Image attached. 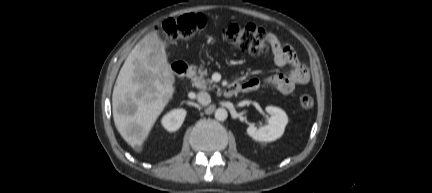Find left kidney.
Segmentation results:
<instances>
[{
  "label": "left kidney",
  "mask_w": 432,
  "mask_h": 193,
  "mask_svg": "<svg viewBox=\"0 0 432 193\" xmlns=\"http://www.w3.org/2000/svg\"><path fill=\"white\" fill-rule=\"evenodd\" d=\"M266 112L270 115L268 125L257 128L251 124L247 128V134L256 141H275L283 135L288 123V117L282 109L274 106H267Z\"/></svg>",
  "instance_id": "1"
}]
</instances>
